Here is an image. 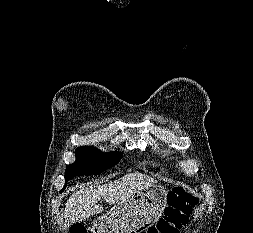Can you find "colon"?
Masks as SVG:
<instances>
[{
  "label": "colon",
  "instance_id": "5ec220e1",
  "mask_svg": "<svg viewBox=\"0 0 253 233\" xmlns=\"http://www.w3.org/2000/svg\"><path fill=\"white\" fill-rule=\"evenodd\" d=\"M197 203L198 198L193 194L182 188H173L168 193L163 217L144 233H179ZM70 233H87V229L78 223L71 227Z\"/></svg>",
  "mask_w": 253,
  "mask_h": 233
}]
</instances>
